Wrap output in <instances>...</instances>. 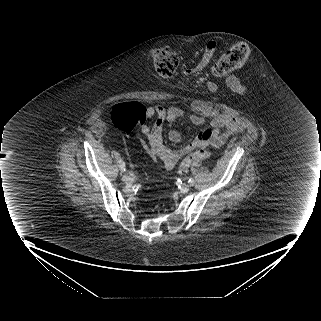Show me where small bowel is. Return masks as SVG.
Segmentation results:
<instances>
[{"instance_id":"1","label":"small bowel","mask_w":321,"mask_h":321,"mask_svg":"<svg viewBox=\"0 0 321 321\" xmlns=\"http://www.w3.org/2000/svg\"><path fill=\"white\" fill-rule=\"evenodd\" d=\"M216 50L217 42L210 40L206 44L201 58L189 72L194 73L203 70L213 59ZM225 82L230 86L232 93L235 95H246L250 91L247 83L237 80L232 75L227 76ZM205 88L210 95L215 94L217 91V85L213 81L207 82ZM186 116L187 113L179 107L155 105L147 108V118L154 120V122L144 125L141 132L148 139V153L151 158L160 161L166 169H172L184 155L198 147L197 138L204 131L207 130L211 133L210 145L218 147L225 144L231 135L242 132L245 128L244 123L240 119L228 115H220L211 121L210 129L199 133L194 141L178 149L166 147L162 136L164 124L173 123ZM188 118L194 127H199L204 123V117L199 114L189 115ZM168 138L170 141L176 143L181 140L182 135L178 130H170Z\"/></svg>"}]
</instances>
